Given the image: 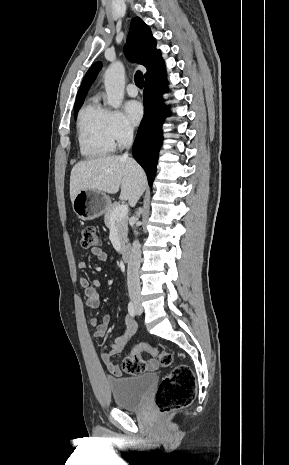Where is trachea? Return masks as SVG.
<instances>
[{"label":"trachea","instance_id":"obj_1","mask_svg":"<svg viewBox=\"0 0 289 465\" xmlns=\"http://www.w3.org/2000/svg\"><path fill=\"white\" fill-rule=\"evenodd\" d=\"M135 84L139 88H143L144 86V77L140 71H137L135 74Z\"/></svg>","mask_w":289,"mask_h":465}]
</instances>
